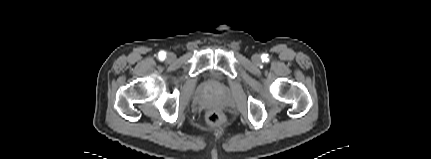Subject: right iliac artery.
Returning <instances> with one entry per match:
<instances>
[{"mask_svg": "<svg viewBox=\"0 0 431 159\" xmlns=\"http://www.w3.org/2000/svg\"><path fill=\"white\" fill-rule=\"evenodd\" d=\"M166 57V53L164 52V51H161L160 53H159V58L162 60V59H164Z\"/></svg>", "mask_w": 431, "mask_h": 159, "instance_id": "1", "label": "right iliac artery"}]
</instances>
